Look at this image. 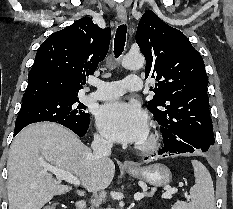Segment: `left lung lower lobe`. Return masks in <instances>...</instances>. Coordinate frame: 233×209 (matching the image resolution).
<instances>
[{
    "instance_id": "left-lung-lower-lobe-1",
    "label": "left lung lower lobe",
    "mask_w": 233,
    "mask_h": 209,
    "mask_svg": "<svg viewBox=\"0 0 233 209\" xmlns=\"http://www.w3.org/2000/svg\"><path fill=\"white\" fill-rule=\"evenodd\" d=\"M161 132L164 139V146L162 149H160L159 154H163L165 152L176 154L194 152L197 149L202 150L203 152H210L212 150L213 145L211 143L196 139L193 136L187 135L182 131L167 127H161Z\"/></svg>"
}]
</instances>
